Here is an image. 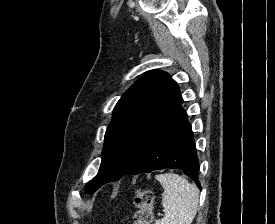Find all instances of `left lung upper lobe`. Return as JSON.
<instances>
[{
  "label": "left lung upper lobe",
  "mask_w": 275,
  "mask_h": 224,
  "mask_svg": "<svg viewBox=\"0 0 275 224\" xmlns=\"http://www.w3.org/2000/svg\"><path fill=\"white\" fill-rule=\"evenodd\" d=\"M181 101L170 75L161 71L144 73L116 104L105 134L99 172L85 190L92 193L104 179L123 177L148 137Z\"/></svg>",
  "instance_id": "1"
}]
</instances>
